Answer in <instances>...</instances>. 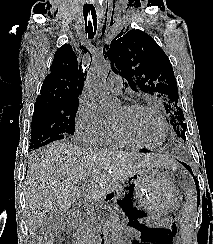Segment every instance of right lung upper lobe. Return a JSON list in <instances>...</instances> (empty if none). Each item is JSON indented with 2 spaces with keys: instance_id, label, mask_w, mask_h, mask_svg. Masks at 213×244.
<instances>
[{
  "instance_id": "cb5924a9",
  "label": "right lung upper lobe",
  "mask_w": 213,
  "mask_h": 244,
  "mask_svg": "<svg viewBox=\"0 0 213 244\" xmlns=\"http://www.w3.org/2000/svg\"><path fill=\"white\" fill-rule=\"evenodd\" d=\"M70 44H64L55 53L51 73L46 76L37 100H79L83 89V74Z\"/></svg>"
}]
</instances>
